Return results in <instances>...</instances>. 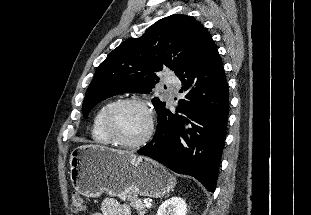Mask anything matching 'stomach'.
<instances>
[{"label": "stomach", "instance_id": "stomach-1", "mask_svg": "<svg viewBox=\"0 0 311 215\" xmlns=\"http://www.w3.org/2000/svg\"><path fill=\"white\" fill-rule=\"evenodd\" d=\"M69 164L73 187L87 198H97L102 193L160 198L176 183L163 166L149 158L99 145L78 146L71 152Z\"/></svg>", "mask_w": 311, "mask_h": 215}]
</instances>
